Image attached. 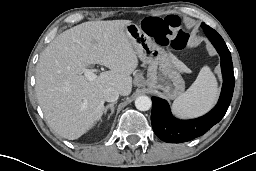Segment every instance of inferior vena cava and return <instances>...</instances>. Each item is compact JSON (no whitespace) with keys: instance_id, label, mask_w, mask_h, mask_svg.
<instances>
[{"instance_id":"obj_1","label":"inferior vena cava","mask_w":256,"mask_h":171,"mask_svg":"<svg viewBox=\"0 0 256 171\" xmlns=\"http://www.w3.org/2000/svg\"><path fill=\"white\" fill-rule=\"evenodd\" d=\"M119 97V92L112 87L106 88L103 92V98L107 102H115Z\"/></svg>"}]
</instances>
